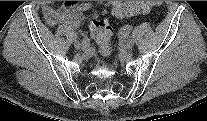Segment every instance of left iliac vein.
Instances as JSON below:
<instances>
[{"label": "left iliac vein", "mask_w": 207, "mask_h": 121, "mask_svg": "<svg viewBox=\"0 0 207 121\" xmlns=\"http://www.w3.org/2000/svg\"><path fill=\"white\" fill-rule=\"evenodd\" d=\"M134 46V41L133 40H128L125 44L124 47L126 49H131Z\"/></svg>", "instance_id": "obj_1"}]
</instances>
